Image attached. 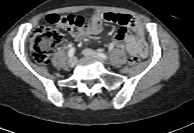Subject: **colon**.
Masks as SVG:
<instances>
[{"mask_svg": "<svg viewBox=\"0 0 194 133\" xmlns=\"http://www.w3.org/2000/svg\"><path fill=\"white\" fill-rule=\"evenodd\" d=\"M46 21L47 24L38 27L30 38L31 54L38 64L49 62L52 51L62 40L63 31L77 34L84 27L83 17L76 14H52ZM139 58L138 55L131 56L129 63L134 65Z\"/></svg>", "mask_w": 194, "mask_h": 133, "instance_id": "5ec220e1", "label": "colon"}]
</instances>
